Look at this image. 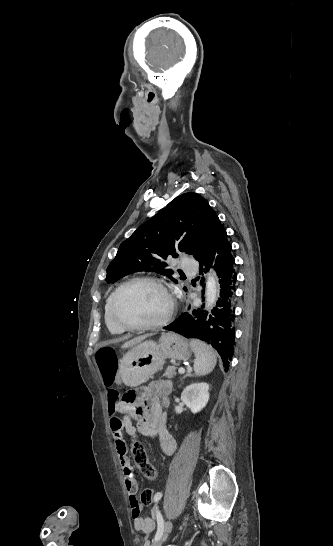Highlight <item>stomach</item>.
I'll use <instances>...</instances> for the list:
<instances>
[{
  "mask_svg": "<svg viewBox=\"0 0 333 546\" xmlns=\"http://www.w3.org/2000/svg\"><path fill=\"white\" fill-rule=\"evenodd\" d=\"M190 355L188 341L175 333H163L158 342L147 340L130 349L119 361L118 374L127 386L137 387L160 371L166 358L183 360Z\"/></svg>",
  "mask_w": 333,
  "mask_h": 546,
  "instance_id": "1",
  "label": "stomach"
}]
</instances>
